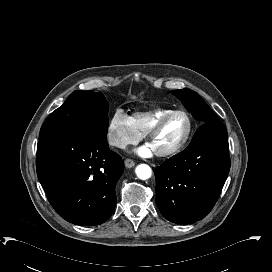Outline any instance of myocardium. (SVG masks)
<instances>
[{"label":"myocardium","mask_w":272,"mask_h":272,"mask_svg":"<svg viewBox=\"0 0 272 272\" xmlns=\"http://www.w3.org/2000/svg\"><path fill=\"white\" fill-rule=\"evenodd\" d=\"M177 115H181L186 119L187 122V130H186V134L183 138V140L174 148L170 149V150H166V151H161V152H155L156 155L158 157H172L176 154H178L184 147L185 145L188 143L191 134L193 132V122L192 119L190 117V115L182 110H174L171 112H168L162 116H160L146 131H145V137L147 142H149V140L156 135L161 128L164 126V124L171 119L174 116Z\"/></svg>","instance_id":"1"}]
</instances>
